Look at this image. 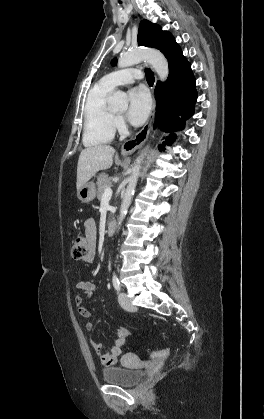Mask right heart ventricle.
<instances>
[{
	"label": "right heart ventricle",
	"mask_w": 264,
	"mask_h": 419,
	"mask_svg": "<svg viewBox=\"0 0 264 419\" xmlns=\"http://www.w3.org/2000/svg\"><path fill=\"white\" fill-rule=\"evenodd\" d=\"M112 88L102 81L88 92L85 103L83 143L92 147L109 143L115 134V115L107 105Z\"/></svg>",
	"instance_id": "right-heart-ventricle-1"
}]
</instances>
